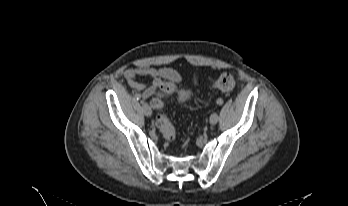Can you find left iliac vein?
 <instances>
[{
    "instance_id": "obj_1",
    "label": "left iliac vein",
    "mask_w": 348,
    "mask_h": 206,
    "mask_svg": "<svg viewBox=\"0 0 348 206\" xmlns=\"http://www.w3.org/2000/svg\"><path fill=\"white\" fill-rule=\"evenodd\" d=\"M218 119H219V116L217 113H213L211 116H210V124L211 125H215L217 122H218Z\"/></svg>"
}]
</instances>
